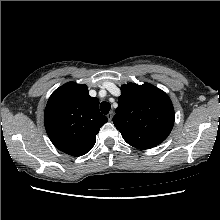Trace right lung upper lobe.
I'll return each mask as SVG.
<instances>
[{"instance_id":"cb5924a9","label":"right lung upper lobe","mask_w":220,"mask_h":220,"mask_svg":"<svg viewBox=\"0 0 220 220\" xmlns=\"http://www.w3.org/2000/svg\"><path fill=\"white\" fill-rule=\"evenodd\" d=\"M108 121L99 111V100L86 85L68 82L50 96L44 113L46 132L60 151L82 156L92 149L100 127Z\"/></svg>"}]
</instances>
